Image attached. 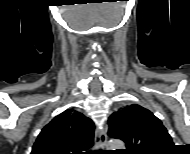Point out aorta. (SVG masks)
I'll use <instances>...</instances> for the list:
<instances>
[{"mask_svg":"<svg viewBox=\"0 0 190 154\" xmlns=\"http://www.w3.org/2000/svg\"><path fill=\"white\" fill-rule=\"evenodd\" d=\"M124 143L119 139H112L108 142L109 150L124 149Z\"/></svg>","mask_w":190,"mask_h":154,"instance_id":"aorta-1","label":"aorta"}]
</instances>
